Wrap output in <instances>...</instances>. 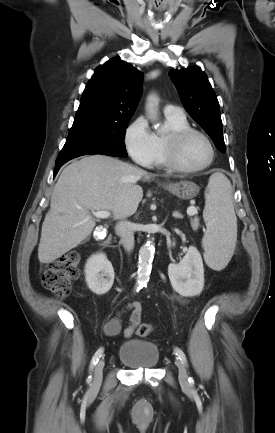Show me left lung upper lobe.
Returning a JSON list of instances; mask_svg holds the SVG:
<instances>
[{
	"label": "left lung upper lobe",
	"mask_w": 275,
	"mask_h": 433,
	"mask_svg": "<svg viewBox=\"0 0 275 433\" xmlns=\"http://www.w3.org/2000/svg\"><path fill=\"white\" fill-rule=\"evenodd\" d=\"M169 75L186 111L207 132L216 147L225 153L219 102L207 75L198 66L172 69Z\"/></svg>",
	"instance_id": "obj_1"
}]
</instances>
